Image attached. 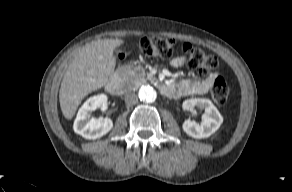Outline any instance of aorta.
<instances>
[{"mask_svg":"<svg viewBox=\"0 0 292 192\" xmlns=\"http://www.w3.org/2000/svg\"><path fill=\"white\" fill-rule=\"evenodd\" d=\"M139 99L144 103H152L157 98L155 89L149 85L142 86L138 92Z\"/></svg>","mask_w":292,"mask_h":192,"instance_id":"obj_1","label":"aorta"}]
</instances>
